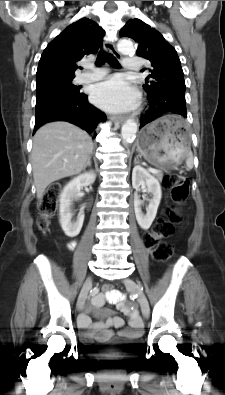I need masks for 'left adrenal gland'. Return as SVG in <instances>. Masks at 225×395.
Instances as JSON below:
<instances>
[{"label": "left adrenal gland", "instance_id": "obj_1", "mask_svg": "<svg viewBox=\"0 0 225 395\" xmlns=\"http://www.w3.org/2000/svg\"><path fill=\"white\" fill-rule=\"evenodd\" d=\"M140 162H139V160H138V157H136L135 159H134V164H139Z\"/></svg>", "mask_w": 225, "mask_h": 395}]
</instances>
